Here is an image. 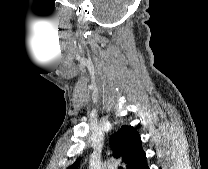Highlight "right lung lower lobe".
Here are the masks:
<instances>
[{"label": "right lung lower lobe", "instance_id": "1", "mask_svg": "<svg viewBox=\"0 0 208 169\" xmlns=\"http://www.w3.org/2000/svg\"><path fill=\"white\" fill-rule=\"evenodd\" d=\"M137 169H149L146 159L137 167Z\"/></svg>", "mask_w": 208, "mask_h": 169}]
</instances>
